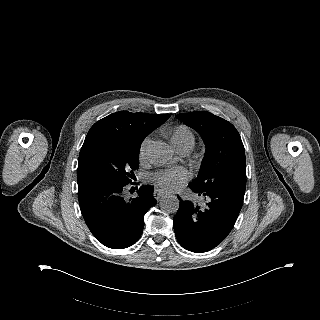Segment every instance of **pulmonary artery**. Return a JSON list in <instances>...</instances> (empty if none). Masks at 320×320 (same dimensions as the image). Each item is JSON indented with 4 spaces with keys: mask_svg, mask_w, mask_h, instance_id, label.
<instances>
[{
    "mask_svg": "<svg viewBox=\"0 0 320 320\" xmlns=\"http://www.w3.org/2000/svg\"><path fill=\"white\" fill-rule=\"evenodd\" d=\"M175 149H176L177 153H179L180 155H186L188 153V151L190 150L184 146L176 147Z\"/></svg>",
    "mask_w": 320,
    "mask_h": 320,
    "instance_id": "1",
    "label": "pulmonary artery"
}]
</instances>
